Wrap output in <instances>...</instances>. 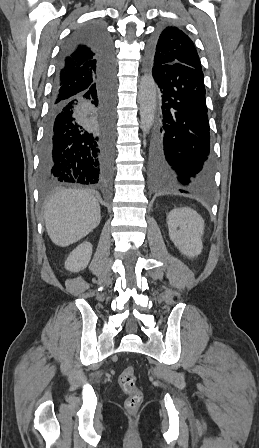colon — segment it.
Returning a JSON list of instances; mask_svg holds the SVG:
<instances>
[{"label":"colon","mask_w":259,"mask_h":448,"mask_svg":"<svg viewBox=\"0 0 259 448\" xmlns=\"http://www.w3.org/2000/svg\"><path fill=\"white\" fill-rule=\"evenodd\" d=\"M119 385L122 391L127 394L125 400L127 411L135 413L143 401V394L136 385V373L133 366H128L122 371L119 376Z\"/></svg>","instance_id":"colon-1"}]
</instances>
